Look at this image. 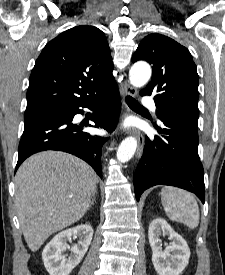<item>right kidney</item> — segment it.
<instances>
[{
	"label": "right kidney",
	"mask_w": 225,
	"mask_h": 275,
	"mask_svg": "<svg viewBox=\"0 0 225 275\" xmlns=\"http://www.w3.org/2000/svg\"><path fill=\"white\" fill-rule=\"evenodd\" d=\"M92 237L93 229L88 224L64 230L54 236L42 252V259L48 273L50 275H69L84 257ZM72 238H78V242L71 247V253L68 256L64 252L69 248L67 241Z\"/></svg>",
	"instance_id": "ca27d5eb"
}]
</instances>
